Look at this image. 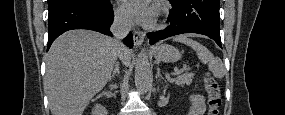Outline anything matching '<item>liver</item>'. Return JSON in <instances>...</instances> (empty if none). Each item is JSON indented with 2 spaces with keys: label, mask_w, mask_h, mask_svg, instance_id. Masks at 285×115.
I'll return each mask as SVG.
<instances>
[{
  "label": "liver",
  "mask_w": 285,
  "mask_h": 115,
  "mask_svg": "<svg viewBox=\"0 0 285 115\" xmlns=\"http://www.w3.org/2000/svg\"><path fill=\"white\" fill-rule=\"evenodd\" d=\"M117 57L128 65L130 50L97 32L72 30L59 36L47 54L44 78L52 115H82L108 82Z\"/></svg>",
  "instance_id": "obj_1"
}]
</instances>
